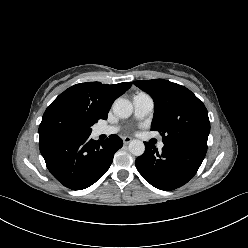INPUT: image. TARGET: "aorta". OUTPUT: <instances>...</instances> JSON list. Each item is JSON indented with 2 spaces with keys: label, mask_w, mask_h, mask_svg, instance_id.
Instances as JSON below:
<instances>
[{
  "label": "aorta",
  "mask_w": 248,
  "mask_h": 248,
  "mask_svg": "<svg viewBox=\"0 0 248 248\" xmlns=\"http://www.w3.org/2000/svg\"><path fill=\"white\" fill-rule=\"evenodd\" d=\"M113 112L120 118H127L133 112V105L127 99L118 98L113 104ZM128 149L131 154L141 156L145 151V145L141 140L135 139L129 143Z\"/></svg>",
  "instance_id": "1"
}]
</instances>
